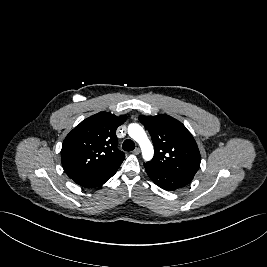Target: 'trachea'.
Returning <instances> with one entry per match:
<instances>
[{"label":"trachea","instance_id":"trachea-1","mask_svg":"<svg viewBox=\"0 0 267 267\" xmlns=\"http://www.w3.org/2000/svg\"><path fill=\"white\" fill-rule=\"evenodd\" d=\"M122 148L124 151H132L135 149V143L130 139H126L123 142Z\"/></svg>","mask_w":267,"mask_h":267}]
</instances>
